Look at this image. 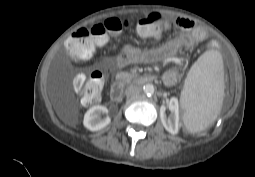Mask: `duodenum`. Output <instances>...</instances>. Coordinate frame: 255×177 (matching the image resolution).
Segmentation results:
<instances>
[{
	"label": "duodenum",
	"instance_id": "1",
	"mask_svg": "<svg viewBox=\"0 0 255 177\" xmlns=\"http://www.w3.org/2000/svg\"><path fill=\"white\" fill-rule=\"evenodd\" d=\"M156 79H157V76L154 74H143V75H139L135 77L134 81L138 84H147V83L154 82ZM122 92H123L122 83L120 81H116L112 85L110 90L111 98L116 102L120 101Z\"/></svg>",
	"mask_w": 255,
	"mask_h": 177
}]
</instances>
